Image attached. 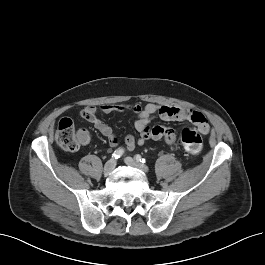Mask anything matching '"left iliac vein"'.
Returning a JSON list of instances; mask_svg holds the SVG:
<instances>
[{
    "label": "left iliac vein",
    "mask_w": 265,
    "mask_h": 265,
    "mask_svg": "<svg viewBox=\"0 0 265 265\" xmlns=\"http://www.w3.org/2000/svg\"><path fill=\"white\" fill-rule=\"evenodd\" d=\"M125 163L129 166H132V167H135V168H138L140 169L141 171H143L144 173H148L149 172V168L144 165V164H141V163H138L136 162L133 158L131 157H126L124 159Z\"/></svg>",
    "instance_id": "4c4485c4"
}]
</instances>
